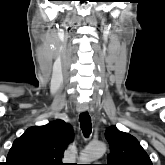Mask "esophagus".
Segmentation results:
<instances>
[{
	"label": "esophagus",
	"instance_id": "1",
	"mask_svg": "<svg viewBox=\"0 0 165 165\" xmlns=\"http://www.w3.org/2000/svg\"><path fill=\"white\" fill-rule=\"evenodd\" d=\"M88 109H89V107L85 103H80L77 105V111L80 113L86 112V111H88Z\"/></svg>",
	"mask_w": 165,
	"mask_h": 165
}]
</instances>
